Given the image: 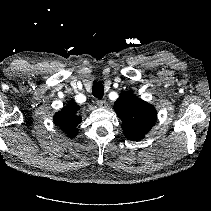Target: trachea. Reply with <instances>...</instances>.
I'll list each match as a JSON object with an SVG mask.
<instances>
[{
    "label": "trachea",
    "mask_w": 211,
    "mask_h": 211,
    "mask_svg": "<svg viewBox=\"0 0 211 211\" xmlns=\"http://www.w3.org/2000/svg\"><path fill=\"white\" fill-rule=\"evenodd\" d=\"M92 94L94 97L101 99L104 96V86L100 82H96L92 86Z\"/></svg>",
    "instance_id": "1"
}]
</instances>
